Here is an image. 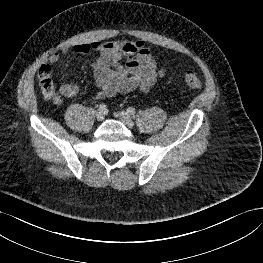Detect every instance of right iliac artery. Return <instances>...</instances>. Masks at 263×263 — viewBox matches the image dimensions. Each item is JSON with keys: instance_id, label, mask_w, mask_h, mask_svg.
Here are the masks:
<instances>
[{"instance_id": "1", "label": "right iliac artery", "mask_w": 263, "mask_h": 263, "mask_svg": "<svg viewBox=\"0 0 263 263\" xmlns=\"http://www.w3.org/2000/svg\"><path fill=\"white\" fill-rule=\"evenodd\" d=\"M106 108H107V106L104 103L100 104V106H99L100 110H105Z\"/></svg>"}]
</instances>
